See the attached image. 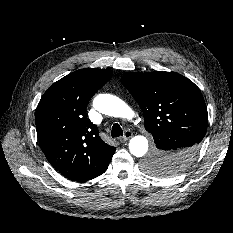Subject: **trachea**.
Segmentation results:
<instances>
[{
    "label": "trachea",
    "mask_w": 233,
    "mask_h": 233,
    "mask_svg": "<svg viewBox=\"0 0 233 233\" xmlns=\"http://www.w3.org/2000/svg\"><path fill=\"white\" fill-rule=\"evenodd\" d=\"M123 135V130L122 128L120 127L119 124L115 123L112 127V130H111V136L112 137H119V136H122Z\"/></svg>",
    "instance_id": "3493384b"
}]
</instances>
